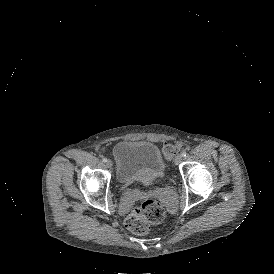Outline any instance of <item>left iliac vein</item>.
Instances as JSON below:
<instances>
[{"instance_id":"4c4485c4","label":"left iliac vein","mask_w":274,"mask_h":274,"mask_svg":"<svg viewBox=\"0 0 274 274\" xmlns=\"http://www.w3.org/2000/svg\"><path fill=\"white\" fill-rule=\"evenodd\" d=\"M182 162V155L178 154L175 157V164H180Z\"/></svg>"}]
</instances>
